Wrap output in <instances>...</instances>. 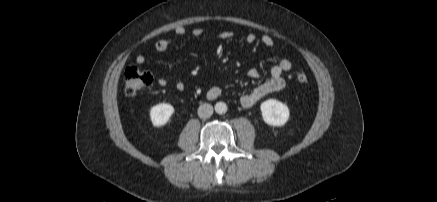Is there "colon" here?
I'll return each mask as SVG.
<instances>
[{
	"label": "colon",
	"instance_id": "colon-1",
	"mask_svg": "<svg viewBox=\"0 0 437 202\" xmlns=\"http://www.w3.org/2000/svg\"><path fill=\"white\" fill-rule=\"evenodd\" d=\"M296 79L300 84L308 82V76L304 73L297 74ZM124 81L126 95L135 96L152 85L153 76L148 71L141 70L136 66H129L125 70Z\"/></svg>",
	"mask_w": 437,
	"mask_h": 202
}]
</instances>
